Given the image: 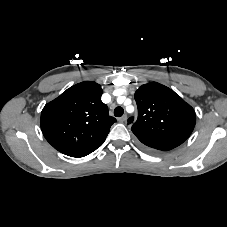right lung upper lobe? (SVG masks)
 I'll return each instance as SVG.
<instances>
[{
    "mask_svg": "<svg viewBox=\"0 0 227 227\" xmlns=\"http://www.w3.org/2000/svg\"><path fill=\"white\" fill-rule=\"evenodd\" d=\"M102 88L93 81L78 83L41 112V129L46 140L59 152L84 157L105 141L111 125L108 107L101 101Z\"/></svg>",
    "mask_w": 227,
    "mask_h": 227,
    "instance_id": "1",
    "label": "right lung upper lobe"
}]
</instances>
